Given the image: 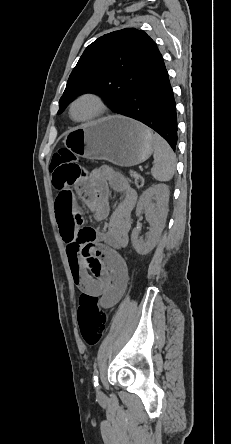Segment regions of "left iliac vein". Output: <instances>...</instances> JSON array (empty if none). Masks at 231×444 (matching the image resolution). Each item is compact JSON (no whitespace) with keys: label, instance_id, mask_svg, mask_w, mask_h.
Returning a JSON list of instances; mask_svg holds the SVG:
<instances>
[{"label":"left iliac vein","instance_id":"left-iliac-vein-1","mask_svg":"<svg viewBox=\"0 0 231 444\" xmlns=\"http://www.w3.org/2000/svg\"><path fill=\"white\" fill-rule=\"evenodd\" d=\"M98 394H99V395L101 394V391H100V390L98 391Z\"/></svg>","mask_w":231,"mask_h":444}]
</instances>
